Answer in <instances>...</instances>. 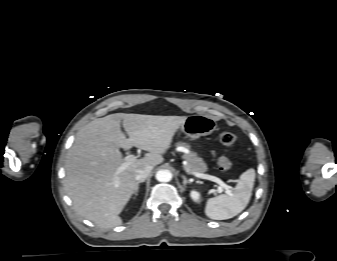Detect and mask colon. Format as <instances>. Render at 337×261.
<instances>
[{
    "mask_svg": "<svg viewBox=\"0 0 337 261\" xmlns=\"http://www.w3.org/2000/svg\"><path fill=\"white\" fill-rule=\"evenodd\" d=\"M219 141L224 147H231L236 141V137L233 133L223 131L219 134ZM218 167L221 171H229L232 168L231 160L227 155H221L218 159Z\"/></svg>",
    "mask_w": 337,
    "mask_h": 261,
    "instance_id": "colon-1",
    "label": "colon"
}]
</instances>
